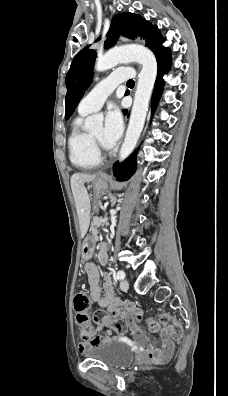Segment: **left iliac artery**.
Returning <instances> with one entry per match:
<instances>
[{"label":"left iliac artery","instance_id":"obj_1","mask_svg":"<svg viewBox=\"0 0 228 396\" xmlns=\"http://www.w3.org/2000/svg\"><path fill=\"white\" fill-rule=\"evenodd\" d=\"M118 280H122L125 278V273L122 270H119L116 274Z\"/></svg>","mask_w":228,"mask_h":396}]
</instances>
